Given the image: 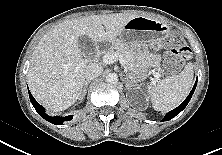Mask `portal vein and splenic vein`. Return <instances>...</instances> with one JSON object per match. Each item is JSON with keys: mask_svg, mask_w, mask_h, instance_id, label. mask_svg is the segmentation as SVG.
I'll list each match as a JSON object with an SVG mask.
<instances>
[{"mask_svg": "<svg viewBox=\"0 0 222 155\" xmlns=\"http://www.w3.org/2000/svg\"><path fill=\"white\" fill-rule=\"evenodd\" d=\"M118 60L120 61L121 65L124 67V69L127 70V66L125 65V60L121 55L107 53L102 58V61L105 64H113L114 62H116ZM153 76L155 77V81L159 80V78H160L159 73L154 72Z\"/></svg>", "mask_w": 222, "mask_h": 155, "instance_id": "portal-vein-and-splenic-vein-1", "label": "portal vein and splenic vein"}]
</instances>
